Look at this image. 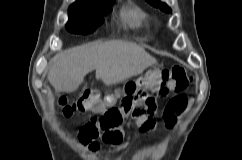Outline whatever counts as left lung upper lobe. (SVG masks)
I'll use <instances>...</instances> for the list:
<instances>
[{"label": "left lung upper lobe", "mask_w": 242, "mask_h": 160, "mask_svg": "<svg viewBox=\"0 0 242 160\" xmlns=\"http://www.w3.org/2000/svg\"><path fill=\"white\" fill-rule=\"evenodd\" d=\"M146 1L155 7H159L164 12H171V9L165 3H161L159 0H146Z\"/></svg>", "instance_id": "1"}]
</instances>
